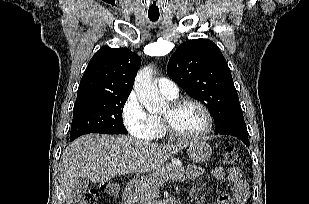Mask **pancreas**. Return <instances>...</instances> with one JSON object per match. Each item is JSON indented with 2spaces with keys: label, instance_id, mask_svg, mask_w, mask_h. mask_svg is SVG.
Instances as JSON below:
<instances>
[{
  "label": "pancreas",
  "instance_id": "obj_1",
  "mask_svg": "<svg viewBox=\"0 0 309 204\" xmlns=\"http://www.w3.org/2000/svg\"><path fill=\"white\" fill-rule=\"evenodd\" d=\"M168 180L185 181V170L173 163L159 166L136 184L134 199L138 204H146L147 200L158 194L160 185Z\"/></svg>",
  "mask_w": 309,
  "mask_h": 204
}]
</instances>
